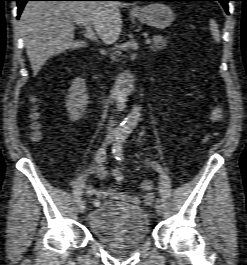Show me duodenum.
<instances>
[{
  "instance_id": "obj_1",
  "label": "duodenum",
  "mask_w": 247,
  "mask_h": 265,
  "mask_svg": "<svg viewBox=\"0 0 247 265\" xmlns=\"http://www.w3.org/2000/svg\"><path fill=\"white\" fill-rule=\"evenodd\" d=\"M132 90L133 76L130 72H123L110 92V101L114 104H122Z\"/></svg>"
}]
</instances>
